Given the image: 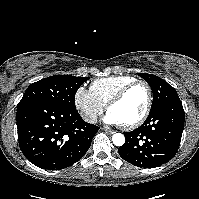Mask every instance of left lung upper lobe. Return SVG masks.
I'll use <instances>...</instances> for the list:
<instances>
[{
	"label": "left lung upper lobe",
	"instance_id": "left-lung-upper-lobe-1",
	"mask_svg": "<svg viewBox=\"0 0 199 199\" xmlns=\"http://www.w3.org/2000/svg\"><path fill=\"white\" fill-rule=\"evenodd\" d=\"M138 75L144 78L152 89L153 102L151 110L156 109L169 101L179 99L176 90L160 77L148 73H138Z\"/></svg>",
	"mask_w": 199,
	"mask_h": 199
}]
</instances>
